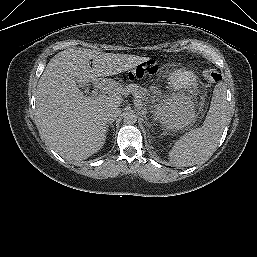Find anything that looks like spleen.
Listing matches in <instances>:
<instances>
[{
  "instance_id": "spleen-1",
  "label": "spleen",
  "mask_w": 257,
  "mask_h": 257,
  "mask_svg": "<svg viewBox=\"0 0 257 257\" xmlns=\"http://www.w3.org/2000/svg\"><path fill=\"white\" fill-rule=\"evenodd\" d=\"M227 118L226 91L218 84L203 126L190 130L175 142L169 152L170 162L187 167L208 160L218 146Z\"/></svg>"
}]
</instances>
